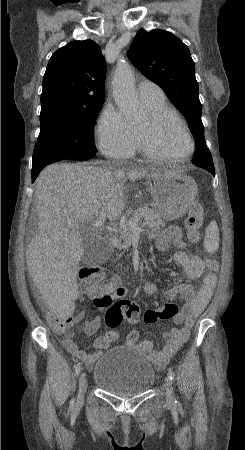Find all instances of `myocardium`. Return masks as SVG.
<instances>
[{"label": "myocardium", "mask_w": 245, "mask_h": 450, "mask_svg": "<svg viewBox=\"0 0 245 450\" xmlns=\"http://www.w3.org/2000/svg\"><path fill=\"white\" fill-rule=\"evenodd\" d=\"M167 120L175 122L184 131L190 142V150L188 151V153L179 156L166 155L153 144L150 135L147 132L138 129L140 145L145 156L152 160H186L190 158L194 154L196 149L195 141L186 124L173 112L163 110L151 113L149 116V125L151 129H158Z\"/></svg>", "instance_id": "1"}]
</instances>
